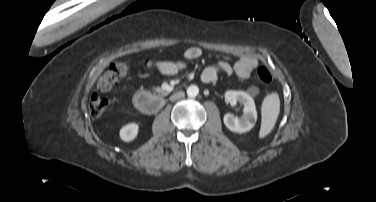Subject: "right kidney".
Instances as JSON below:
<instances>
[{"instance_id":"ca27d5eb","label":"right kidney","mask_w":376,"mask_h":202,"mask_svg":"<svg viewBox=\"0 0 376 202\" xmlns=\"http://www.w3.org/2000/svg\"><path fill=\"white\" fill-rule=\"evenodd\" d=\"M138 129L139 126L136 123H129L123 126L120 130V138L125 142L132 141L136 138Z\"/></svg>"}]
</instances>
